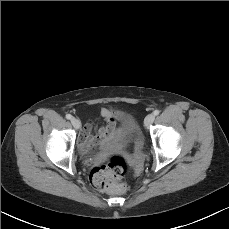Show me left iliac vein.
Instances as JSON below:
<instances>
[{
    "label": "left iliac vein",
    "mask_w": 229,
    "mask_h": 229,
    "mask_svg": "<svg viewBox=\"0 0 229 229\" xmlns=\"http://www.w3.org/2000/svg\"><path fill=\"white\" fill-rule=\"evenodd\" d=\"M154 119H155L154 114H148L144 121L145 126L146 127L149 126L154 121Z\"/></svg>",
    "instance_id": "1"
}]
</instances>
